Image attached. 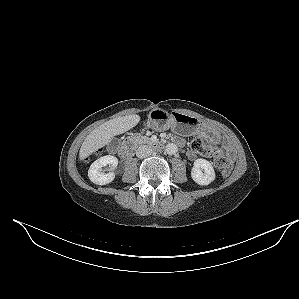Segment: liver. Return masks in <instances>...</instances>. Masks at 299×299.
Returning <instances> with one entry per match:
<instances>
[{"instance_id":"liver-1","label":"liver","mask_w":299,"mask_h":299,"mask_svg":"<svg viewBox=\"0 0 299 299\" xmlns=\"http://www.w3.org/2000/svg\"><path fill=\"white\" fill-rule=\"evenodd\" d=\"M140 121V116L132 114L111 119L94 129L83 141L79 151L80 160H84L98 149L106 146L111 138L123 134L135 127Z\"/></svg>"}]
</instances>
